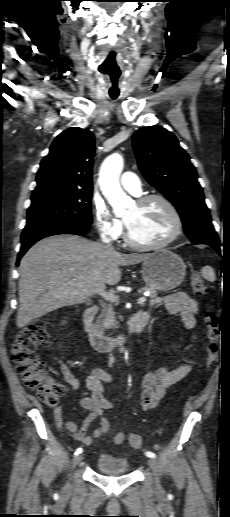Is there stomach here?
<instances>
[{
  "mask_svg": "<svg viewBox=\"0 0 230 517\" xmlns=\"http://www.w3.org/2000/svg\"><path fill=\"white\" fill-rule=\"evenodd\" d=\"M143 280L152 289L169 291L179 286L186 275L182 258L167 249L150 253L141 268Z\"/></svg>",
  "mask_w": 230,
  "mask_h": 517,
  "instance_id": "obj_1",
  "label": "stomach"
}]
</instances>
